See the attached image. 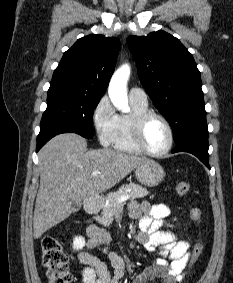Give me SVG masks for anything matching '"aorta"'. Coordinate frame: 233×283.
Wrapping results in <instances>:
<instances>
[{
  "instance_id": "obj_1",
  "label": "aorta",
  "mask_w": 233,
  "mask_h": 283,
  "mask_svg": "<svg viewBox=\"0 0 233 283\" xmlns=\"http://www.w3.org/2000/svg\"><path fill=\"white\" fill-rule=\"evenodd\" d=\"M129 76L130 66L128 64H124L115 71L108 87V94L111 102L122 112L130 111L127 96V82Z\"/></svg>"
}]
</instances>
